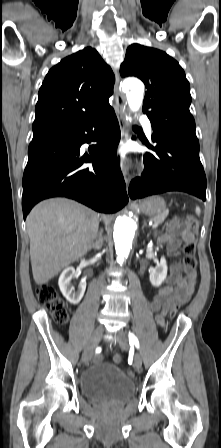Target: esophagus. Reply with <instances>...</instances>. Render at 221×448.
Returning <instances> with one entry per match:
<instances>
[{
    "mask_svg": "<svg viewBox=\"0 0 221 448\" xmlns=\"http://www.w3.org/2000/svg\"><path fill=\"white\" fill-rule=\"evenodd\" d=\"M114 95H115V104H114V110L119 122V126L121 129V136L124 139H127L129 136V128H128V120L126 113V102L125 98L122 95L120 88H119V76L116 75V84L114 87ZM122 173L126 182V185H129L130 182V175L128 173V166L126 162L122 163Z\"/></svg>",
    "mask_w": 221,
    "mask_h": 448,
    "instance_id": "obj_1",
    "label": "esophagus"
}]
</instances>
